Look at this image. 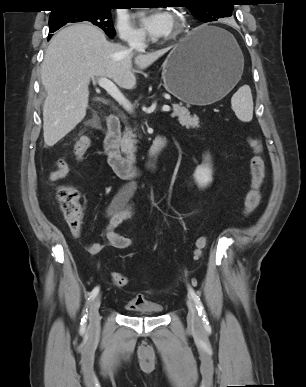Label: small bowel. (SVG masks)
Returning a JSON list of instances; mask_svg holds the SVG:
<instances>
[{
  "instance_id": "obj_1",
  "label": "small bowel",
  "mask_w": 306,
  "mask_h": 387,
  "mask_svg": "<svg viewBox=\"0 0 306 387\" xmlns=\"http://www.w3.org/2000/svg\"><path fill=\"white\" fill-rule=\"evenodd\" d=\"M56 169L49 172L47 180L49 182H57L64 179L69 173L68 163L63 158L55 160ZM131 195V188L122 189L112 200L106 209L107 226L105 230V238L107 244L116 249H127L132 246V240L115 232V228L122 222L132 216L133 210L128 203ZM103 248L102 243L90 242L87 245V250L90 254H97ZM141 296H137L128 303V308H135L144 303Z\"/></svg>"
}]
</instances>
